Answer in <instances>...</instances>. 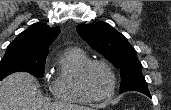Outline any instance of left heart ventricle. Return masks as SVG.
Returning a JSON list of instances; mask_svg holds the SVG:
<instances>
[{"label": "left heart ventricle", "mask_w": 171, "mask_h": 110, "mask_svg": "<svg viewBox=\"0 0 171 110\" xmlns=\"http://www.w3.org/2000/svg\"><path fill=\"white\" fill-rule=\"evenodd\" d=\"M87 85L92 94L96 96H104L111 90V76L103 66H94L88 73Z\"/></svg>", "instance_id": "1"}]
</instances>
